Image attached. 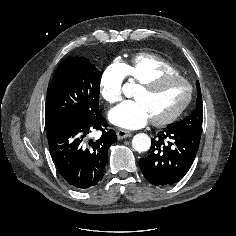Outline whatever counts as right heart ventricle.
<instances>
[{"mask_svg":"<svg viewBox=\"0 0 236 236\" xmlns=\"http://www.w3.org/2000/svg\"><path fill=\"white\" fill-rule=\"evenodd\" d=\"M126 68L128 77L138 84L161 74H178L177 69L169 62L150 53H142L135 56Z\"/></svg>","mask_w":236,"mask_h":236,"instance_id":"obj_1","label":"right heart ventricle"}]
</instances>
